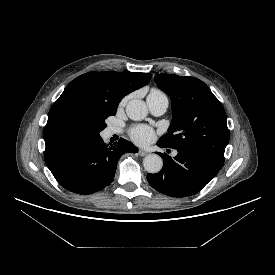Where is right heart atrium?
<instances>
[{
  "label": "right heart atrium",
  "mask_w": 275,
  "mask_h": 275,
  "mask_svg": "<svg viewBox=\"0 0 275 275\" xmlns=\"http://www.w3.org/2000/svg\"><path fill=\"white\" fill-rule=\"evenodd\" d=\"M127 101V97H124L121 101H120V106H123Z\"/></svg>",
  "instance_id": "obj_1"
}]
</instances>
